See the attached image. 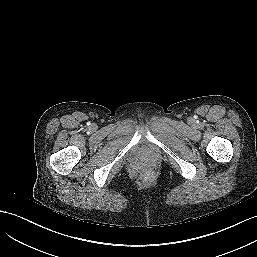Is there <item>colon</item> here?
Masks as SVG:
<instances>
[{
    "label": "colon",
    "mask_w": 257,
    "mask_h": 257,
    "mask_svg": "<svg viewBox=\"0 0 257 257\" xmlns=\"http://www.w3.org/2000/svg\"><path fill=\"white\" fill-rule=\"evenodd\" d=\"M154 175L151 171L146 170L140 173L139 179L143 183H147L153 179Z\"/></svg>",
    "instance_id": "colon-1"
}]
</instances>
